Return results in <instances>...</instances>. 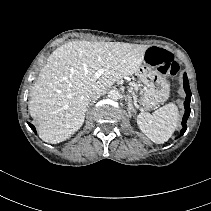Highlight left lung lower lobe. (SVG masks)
<instances>
[{
  "label": "left lung lower lobe",
  "mask_w": 211,
  "mask_h": 211,
  "mask_svg": "<svg viewBox=\"0 0 211 211\" xmlns=\"http://www.w3.org/2000/svg\"><path fill=\"white\" fill-rule=\"evenodd\" d=\"M183 80H184V90L186 92V99H185V102H184V107H185V113H184V116H183V119H182V130H181V136L185 133L186 129H187V126H186V122H187V119L188 117L190 116V99H191V91H190V87H189V82H188V78H187V75L186 73H184V77H183Z\"/></svg>",
  "instance_id": "1"
}]
</instances>
